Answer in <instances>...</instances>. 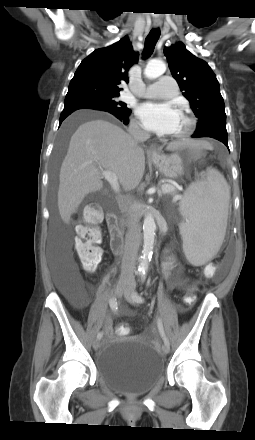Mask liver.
I'll return each mask as SVG.
<instances>
[{"label":"liver","instance_id":"6515ba94","mask_svg":"<svg viewBox=\"0 0 255 440\" xmlns=\"http://www.w3.org/2000/svg\"><path fill=\"white\" fill-rule=\"evenodd\" d=\"M203 145L199 141L184 140L171 142L166 149L175 151ZM103 169L116 174L124 190L135 189L145 170L144 150L119 126L92 119L74 132L61 165L57 198L59 214L65 223L87 194L102 189Z\"/></svg>","mask_w":255,"mask_h":440}]
</instances>
